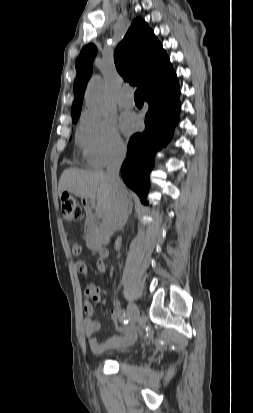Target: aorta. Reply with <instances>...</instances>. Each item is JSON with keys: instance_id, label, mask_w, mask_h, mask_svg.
<instances>
[{"instance_id": "1", "label": "aorta", "mask_w": 253, "mask_h": 413, "mask_svg": "<svg viewBox=\"0 0 253 413\" xmlns=\"http://www.w3.org/2000/svg\"><path fill=\"white\" fill-rule=\"evenodd\" d=\"M86 106L97 115L107 112V85L101 77H93L88 84L85 94Z\"/></svg>"}]
</instances>
